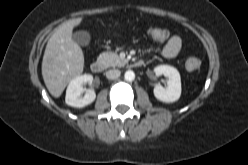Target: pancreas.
<instances>
[{
    "instance_id": "obj_1",
    "label": "pancreas",
    "mask_w": 248,
    "mask_h": 165,
    "mask_svg": "<svg viewBox=\"0 0 248 165\" xmlns=\"http://www.w3.org/2000/svg\"><path fill=\"white\" fill-rule=\"evenodd\" d=\"M98 60L103 63L106 67H122L127 63V60L121 59L114 52H103L100 54Z\"/></svg>"
}]
</instances>
